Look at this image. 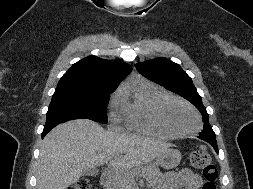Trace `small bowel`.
Listing matches in <instances>:
<instances>
[{
	"label": "small bowel",
	"instance_id": "small-bowel-1",
	"mask_svg": "<svg viewBox=\"0 0 253 189\" xmlns=\"http://www.w3.org/2000/svg\"><path fill=\"white\" fill-rule=\"evenodd\" d=\"M201 177L189 169L178 172H168L163 175L159 183V189H200Z\"/></svg>",
	"mask_w": 253,
	"mask_h": 189
}]
</instances>
